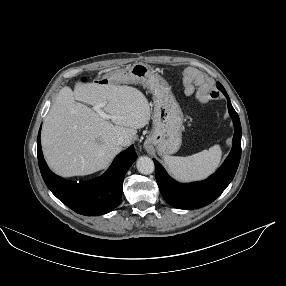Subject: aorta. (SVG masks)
<instances>
[{
	"label": "aorta",
	"mask_w": 286,
	"mask_h": 286,
	"mask_svg": "<svg viewBox=\"0 0 286 286\" xmlns=\"http://www.w3.org/2000/svg\"><path fill=\"white\" fill-rule=\"evenodd\" d=\"M137 170L144 175L151 174L154 171V162L147 156H141L138 158Z\"/></svg>",
	"instance_id": "762f6f07"
}]
</instances>
